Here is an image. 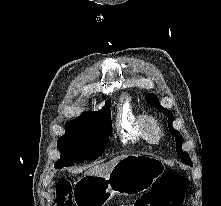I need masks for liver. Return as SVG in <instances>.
<instances>
[{
    "mask_svg": "<svg viewBox=\"0 0 221 206\" xmlns=\"http://www.w3.org/2000/svg\"><path fill=\"white\" fill-rule=\"evenodd\" d=\"M125 155L118 156L107 163H103L101 165H95L94 167L89 168L85 175L99 176L103 177L110 173V171L114 168V166L124 158Z\"/></svg>",
    "mask_w": 221,
    "mask_h": 206,
    "instance_id": "liver-1",
    "label": "liver"
}]
</instances>
